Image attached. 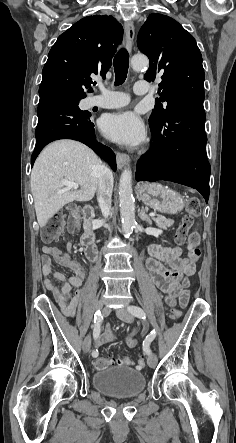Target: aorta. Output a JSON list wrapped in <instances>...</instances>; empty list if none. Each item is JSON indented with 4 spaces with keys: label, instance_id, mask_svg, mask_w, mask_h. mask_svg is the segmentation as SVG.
I'll list each match as a JSON object with an SVG mask.
<instances>
[{
    "label": "aorta",
    "instance_id": "762f6f07",
    "mask_svg": "<svg viewBox=\"0 0 236 443\" xmlns=\"http://www.w3.org/2000/svg\"><path fill=\"white\" fill-rule=\"evenodd\" d=\"M149 61L146 56L135 55L131 59V65L134 70H140L148 65ZM135 200L132 190V172L125 169L119 181V206L122 221L123 233L129 235L135 224Z\"/></svg>",
    "mask_w": 236,
    "mask_h": 443
}]
</instances>
